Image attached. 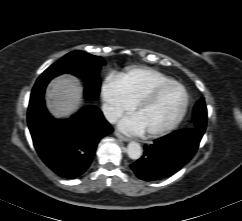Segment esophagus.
Here are the masks:
<instances>
[{
  "instance_id": "1",
  "label": "esophagus",
  "mask_w": 242,
  "mask_h": 221,
  "mask_svg": "<svg viewBox=\"0 0 242 221\" xmlns=\"http://www.w3.org/2000/svg\"><path fill=\"white\" fill-rule=\"evenodd\" d=\"M115 135H116L119 139H121L122 141H124V142H129V141H130V139H129L128 137L123 136V135L120 134L119 132H115Z\"/></svg>"
}]
</instances>
